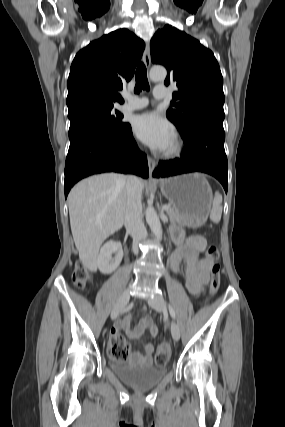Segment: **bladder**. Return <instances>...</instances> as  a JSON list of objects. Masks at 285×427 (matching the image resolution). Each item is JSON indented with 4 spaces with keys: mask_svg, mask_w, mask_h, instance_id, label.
<instances>
[{
    "mask_svg": "<svg viewBox=\"0 0 285 427\" xmlns=\"http://www.w3.org/2000/svg\"><path fill=\"white\" fill-rule=\"evenodd\" d=\"M112 369L124 383L139 390L154 388L167 372L165 367L128 365L119 362H112Z\"/></svg>",
    "mask_w": 285,
    "mask_h": 427,
    "instance_id": "bladder-1",
    "label": "bladder"
}]
</instances>
